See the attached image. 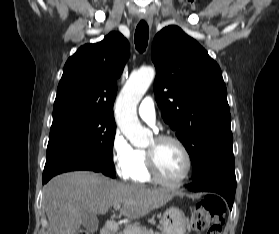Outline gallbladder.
Returning a JSON list of instances; mask_svg holds the SVG:
<instances>
[{"instance_id":"obj_1","label":"gallbladder","mask_w":279,"mask_h":234,"mask_svg":"<svg viewBox=\"0 0 279 234\" xmlns=\"http://www.w3.org/2000/svg\"><path fill=\"white\" fill-rule=\"evenodd\" d=\"M82 224L83 226L91 232H95L98 229V219L97 217L92 213H85L82 216Z\"/></svg>"}]
</instances>
